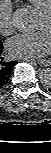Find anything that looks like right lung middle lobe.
<instances>
[{
    "label": "right lung middle lobe",
    "mask_w": 51,
    "mask_h": 153,
    "mask_svg": "<svg viewBox=\"0 0 51 153\" xmlns=\"http://www.w3.org/2000/svg\"><path fill=\"white\" fill-rule=\"evenodd\" d=\"M0 47H2V42H1V40H0Z\"/></svg>",
    "instance_id": "1"
}]
</instances>
